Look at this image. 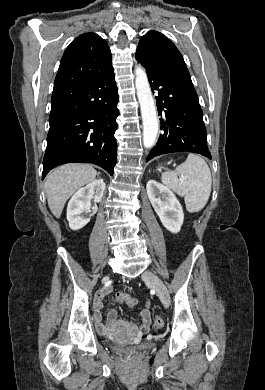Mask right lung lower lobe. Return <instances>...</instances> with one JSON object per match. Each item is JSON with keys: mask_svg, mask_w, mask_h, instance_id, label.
Wrapping results in <instances>:
<instances>
[{"mask_svg": "<svg viewBox=\"0 0 265 390\" xmlns=\"http://www.w3.org/2000/svg\"><path fill=\"white\" fill-rule=\"evenodd\" d=\"M113 67L80 83L54 90L43 176L71 162L93 163L113 175L118 94Z\"/></svg>", "mask_w": 265, "mask_h": 390, "instance_id": "right-lung-lower-lobe-1", "label": "right lung lower lobe"}]
</instances>
